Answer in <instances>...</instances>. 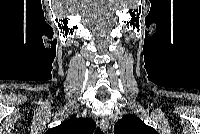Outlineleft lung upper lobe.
I'll list each match as a JSON object with an SVG mask.
<instances>
[{"mask_svg":"<svg viewBox=\"0 0 200 134\" xmlns=\"http://www.w3.org/2000/svg\"><path fill=\"white\" fill-rule=\"evenodd\" d=\"M115 134H157L156 130L146 125L137 116L128 114L118 120L114 126Z\"/></svg>","mask_w":200,"mask_h":134,"instance_id":"1","label":"left lung upper lobe"}]
</instances>
